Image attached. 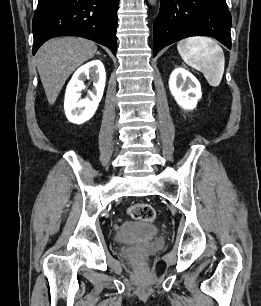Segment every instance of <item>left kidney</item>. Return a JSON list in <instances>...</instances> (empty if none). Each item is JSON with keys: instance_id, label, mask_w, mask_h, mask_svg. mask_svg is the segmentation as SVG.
I'll use <instances>...</instances> for the list:
<instances>
[{"instance_id": "1", "label": "left kidney", "mask_w": 261, "mask_h": 306, "mask_svg": "<svg viewBox=\"0 0 261 306\" xmlns=\"http://www.w3.org/2000/svg\"><path fill=\"white\" fill-rule=\"evenodd\" d=\"M169 89L177 104L185 110L194 109L202 96L199 81L183 68H177L171 73Z\"/></svg>"}]
</instances>
